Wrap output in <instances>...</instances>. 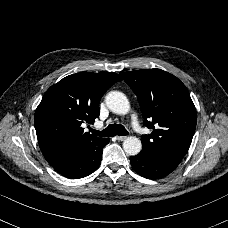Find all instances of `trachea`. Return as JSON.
Masks as SVG:
<instances>
[{"label": "trachea", "instance_id": "trachea-1", "mask_svg": "<svg viewBox=\"0 0 228 228\" xmlns=\"http://www.w3.org/2000/svg\"><path fill=\"white\" fill-rule=\"evenodd\" d=\"M90 132H92L95 136L101 137H113V136H125L128 135V131L122 124H110L107 128L102 131L94 130L89 128Z\"/></svg>", "mask_w": 228, "mask_h": 228}]
</instances>
